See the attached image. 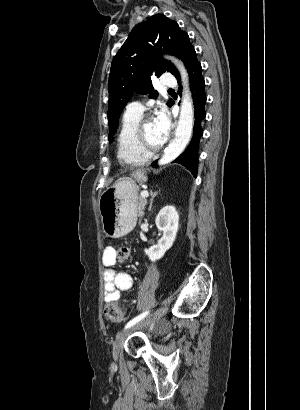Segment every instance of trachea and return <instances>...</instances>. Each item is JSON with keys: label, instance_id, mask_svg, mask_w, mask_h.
<instances>
[{"label": "trachea", "instance_id": "3493384b", "mask_svg": "<svg viewBox=\"0 0 300 410\" xmlns=\"http://www.w3.org/2000/svg\"><path fill=\"white\" fill-rule=\"evenodd\" d=\"M168 91H174L173 89H169Z\"/></svg>", "mask_w": 300, "mask_h": 410}]
</instances>
